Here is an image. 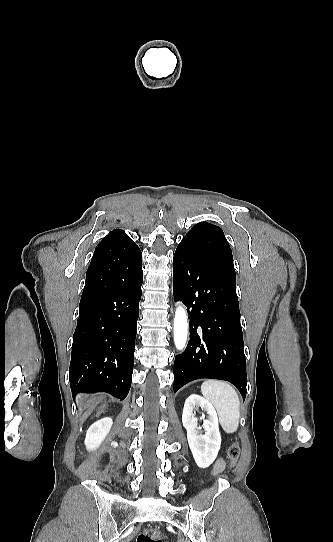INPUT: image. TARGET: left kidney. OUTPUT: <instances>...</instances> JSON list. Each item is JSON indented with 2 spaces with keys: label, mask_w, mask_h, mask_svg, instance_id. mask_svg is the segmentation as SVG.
Masks as SVG:
<instances>
[{
  "label": "left kidney",
  "mask_w": 333,
  "mask_h": 542,
  "mask_svg": "<svg viewBox=\"0 0 333 542\" xmlns=\"http://www.w3.org/2000/svg\"><path fill=\"white\" fill-rule=\"evenodd\" d=\"M199 406L201 410H204L208 414V420H204L202 426L204 434L199 432L198 420L193 414L194 410L199 408ZM182 424L187 430L189 448L197 466L199 468H208L216 460L221 446L218 416L212 404L208 400H205V398H202V396L191 394L185 400Z\"/></svg>",
  "instance_id": "obj_1"
}]
</instances>
